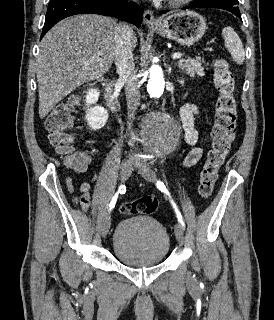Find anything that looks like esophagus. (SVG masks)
<instances>
[{"label": "esophagus", "instance_id": "obj_1", "mask_svg": "<svg viewBox=\"0 0 274 320\" xmlns=\"http://www.w3.org/2000/svg\"><path fill=\"white\" fill-rule=\"evenodd\" d=\"M143 22L146 25H155V24H157V21L154 18V14H153V12L151 10H149V9L145 10L144 15H143Z\"/></svg>", "mask_w": 274, "mask_h": 320}]
</instances>
